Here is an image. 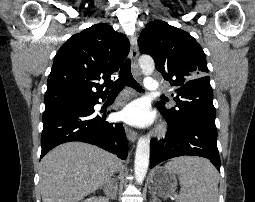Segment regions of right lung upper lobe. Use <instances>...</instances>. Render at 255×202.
I'll list each match as a JSON object with an SVG mask.
<instances>
[{
  "instance_id": "1",
  "label": "right lung upper lobe",
  "mask_w": 255,
  "mask_h": 202,
  "mask_svg": "<svg viewBox=\"0 0 255 202\" xmlns=\"http://www.w3.org/2000/svg\"><path fill=\"white\" fill-rule=\"evenodd\" d=\"M125 35L105 23L95 24L69 38L58 50L45 94V111L106 97L112 73L129 52ZM104 79V84L97 83Z\"/></svg>"
}]
</instances>
